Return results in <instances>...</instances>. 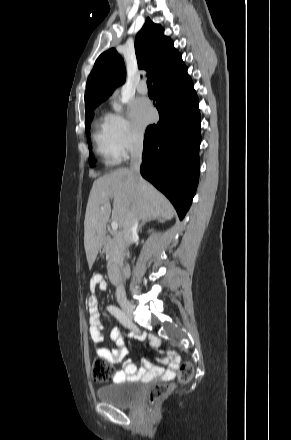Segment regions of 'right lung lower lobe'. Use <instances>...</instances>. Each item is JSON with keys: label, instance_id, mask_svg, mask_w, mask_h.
I'll list each match as a JSON object with an SVG mask.
<instances>
[{"label": "right lung lower lobe", "instance_id": "1", "mask_svg": "<svg viewBox=\"0 0 291 440\" xmlns=\"http://www.w3.org/2000/svg\"><path fill=\"white\" fill-rule=\"evenodd\" d=\"M160 119L147 127L141 175L166 195L182 220L199 180V100L187 67L154 84Z\"/></svg>", "mask_w": 291, "mask_h": 440}]
</instances>
